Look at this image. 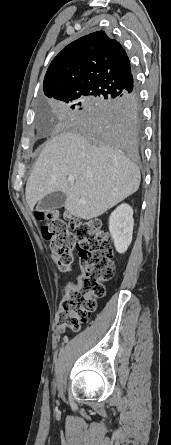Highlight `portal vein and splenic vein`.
I'll list each match as a JSON object with an SVG mask.
<instances>
[{"mask_svg": "<svg viewBox=\"0 0 171 445\" xmlns=\"http://www.w3.org/2000/svg\"><path fill=\"white\" fill-rule=\"evenodd\" d=\"M68 181L71 182V183H73V182H74V178H73V177H69V178H68Z\"/></svg>", "mask_w": 171, "mask_h": 445, "instance_id": "18ae733b", "label": "portal vein and splenic vein"}]
</instances>
